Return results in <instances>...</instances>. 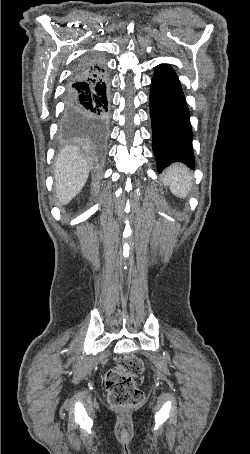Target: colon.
I'll use <instances>...</instances> for the list:
<instances>
[{"label": "colon", "instance_id": "obj_1", "mask_svg": "<svg viewBox=\"0 0 250 454\" xmlns=\"http://www.w3.org/2000/svg\"><path fill=\"white\" fill-rule=\"evenodd\" d=\"M142 372L141 359L133 355L120 357L116 366L107 372L105 384L109 403L114 409H126L141 404L144 395L134 379Z\"/></svg>", "mask_w": 250, "mask_h": 454}]
</instances>
